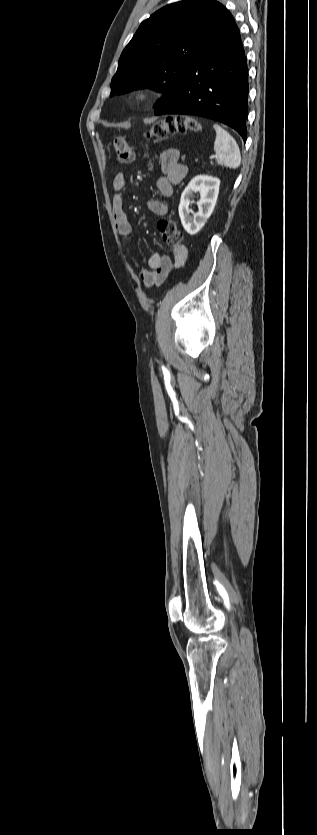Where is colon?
<instances>
[{
    "label": "colon",
    "mask_w": 317,
    "mask_h": 835,
    "mask_svg": "<svg viewBox=\"0 0 317 835\" xmlns=\"http://www.w3.org/2000/svg\"><path fill=\"white\" fill-rule=\"evenodd\" d=\"M199 124L190 117L166 118L155 123L147 132L148 138H165L176 133L196 132ZM113 147L121 163L130 164L135 160V152L123 136H116ZM162 240L170 247H179L182 236L177 223L170 218H161L157 223Z\"/></svg>",
    "instance_id": "colon-1"
}]
</instances>
